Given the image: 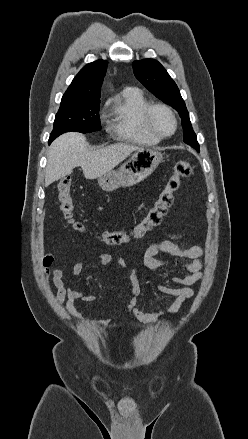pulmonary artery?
Here are the masks:
<instances>
[{"mask_svg": "<svg viewBox=\"0 0 248 439\" xmlns=\"http://www.w3.org/2000/svg\"><path fill=\"white\" fill-rule=\"evenodd\" d=\"M129 89H131V87H127L125 90H129Z\"/></svg>", "mask_w": 248, "mask_h": 439, "instance_id": "pulmonary-artery-1", "label": "pulmonary artery"}]
</instances>
